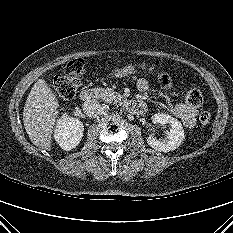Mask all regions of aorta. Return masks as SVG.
I'll use <instances>...</instances> for the list:
<instances>
[{"mask_svg":"<svg viewBox=\"0 0 233 233\" xmlns=\"http://www.w3.org/2000/svg\"><path fill=\"white\" fill-rule=\"evenodd\" d=\"M102 109H101V114H103V115H106L108 112H109V110H110V108H109V106L108 105H106V104H102Z\"/></svg>","mask_w":233,"mask_h":233,"instance_id":"762f6f07","label":"aorta"}]
</instances>
